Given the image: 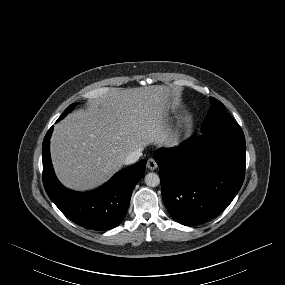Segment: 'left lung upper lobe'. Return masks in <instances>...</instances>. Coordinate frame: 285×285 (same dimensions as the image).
I'll use <instances>...</instances> for the list:
<instances>
[{"instance_id":"obj_1","label":"left lung upper lobe","mask_w":285,"mask_h":285,"mask_svg":"<svg viewBox=\"0 0 285 285\" xmlns=\"http://www.w3.org/2000/svg\"><path fill=\"white\" fill-rule=\"evenodd\" d=\"M210 104V109L202 124L203 132L241 130L220 101L210 97Z\"/></svg>"}]
</instances>
